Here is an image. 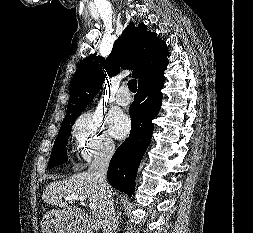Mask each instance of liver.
<instances>
[{"label": "liver", "instance_id": "obj_1", "mask_svg": "<svg viewBox=\"0 0 253 233\" xmlns=\"http://www.w3.org/2000/svg\"><path fill=\"white\" fill-rule=\"evenodd\" d=\"M69 195L84 196L90 203L99 207L98 183L88 171L74 174L62 181L51 182L43 190L42 200L48 204L66 206L62 199Z\"/></svg>", "mask_w": 253, "mask_h": 233}]
</instances>
